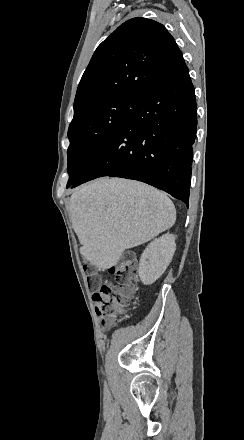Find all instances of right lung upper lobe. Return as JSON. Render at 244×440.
Segmentation results:
<instances>
[{
  "mask_svg": "<svg viewBox=\"0 0 244 440\" xmlns=\"http://www.w3.org/2000/svg\"><path fill=\"white\" fill-rule=\"evenodd\" d=\"M183 63L180 49L162 24L130 19L96 49L78 85L74 107L115 96L142 97Z\"/></svg>",
  "mask_w": 244,
  "mask_h": 440,
  "instance_id": "right-lung-upper-lobe-1",
  "label": "right lung upper lobe"
}]
</instances>
